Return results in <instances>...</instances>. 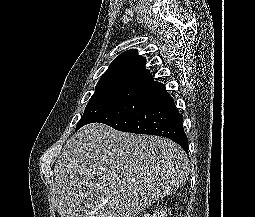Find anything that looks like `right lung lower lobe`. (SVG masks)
I'll return each mask as SVG.
<instances>
[{
    "mask_svg": "<svg viewBox=\"0 0 255 217\" xmlns=\"http://www.w3.org/2000/svg\"><path fill=\"white\" fill-rule=\"evenodd\" d=\"M95 122L123 132L169 138L188 153V139L183 129L182 115L165 86L156 81L133 99L95 117L90 123Z\"/></svg>",
    "mask_w": 255,
    "mask_h": 217,
    "instance_id": "right-lung-lower-lobe-1",
    "label": "right lung lower lobe"
}]
</instances>
